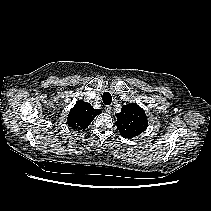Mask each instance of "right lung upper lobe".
<instances>
[{
	"label": "right lung upper lobe",
	"mask_w": 211,
	"mask_h": 211,
	"mask_svg": "<svg viewBox=\"0 0 211 211\" xmlns=\"http://www.w3.org/2000/svg\"><path fill=\"white\" fill-rule=\"evenodd\" d=\"M100 113V109H94L90 103L79 100L69 112L68 126L77 131H84Z\"/></svg>",
	"instance_id": "cb5924a9"
}]
</instances>
